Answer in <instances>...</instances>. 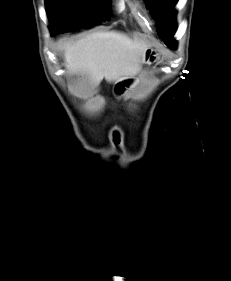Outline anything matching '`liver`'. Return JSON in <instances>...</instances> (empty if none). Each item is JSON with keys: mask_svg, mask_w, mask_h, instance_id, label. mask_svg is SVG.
<instances>
[{"mask_svg": "<svg viewBox=\"0 0 231 281\" xmlns=\"http://www.w3.org/2000/svg\"><path fill=\"white\" fill-rule=\"evenodd\" d=\"M147 48L145 42L116 31L93 33L61 47L67 70L86 74L95 85L103 78L118 82L135 75Z\"/></svg>", "mask_w": 231, "mask_h": 281, "instance_id": "1", "label": "liver"}]
</instances>
